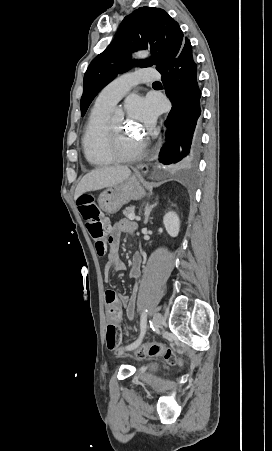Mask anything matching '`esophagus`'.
<instances>
[{"mask_svg": "<svg viewBox=\"0 0 272 451\" xmlns=\"http://www.w3.org/2000/svg\"><path fill=\"white\" fill-rule=\"evenodd\" d=\"M140 170L142 173H147L148 172V167L146 165H141L140 166Z\"/></svg>", "mask_w": 272, "mask_h": 451, "instance_id": "34e87169", "label": "esophagus"}]
</instances>
